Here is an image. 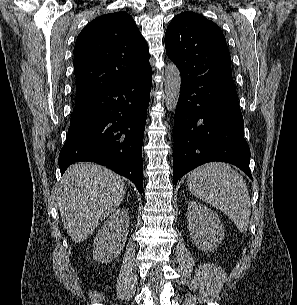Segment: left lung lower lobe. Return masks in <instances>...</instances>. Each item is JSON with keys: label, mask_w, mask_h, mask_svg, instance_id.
<instances>
[{"label": "left lung lower lobe", "mask_w": 297, "mask_h": 305, "mask_svg": "<svg viewBox=\"0 0 297 305\" xmlns=\"http://www.w3.org/2000/svg\"><path fill=\"white\" fill-rule=\"evenodd\" d=\"M174 119V184L206 162L239 167L251 180L250 149L232 76H194L181 69Z\"/></svg>", "instance_id": "1"}]
</instances>
